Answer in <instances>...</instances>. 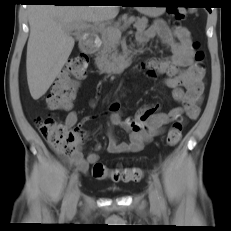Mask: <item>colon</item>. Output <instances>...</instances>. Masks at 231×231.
Here are the masks:
<instances>
[{
	"mask_svg": "<svg viewBox=\"0 0 231 231\" xmlns=\"http://www.w3.org/2000/svg\"><path fill=\"white\" fill-rule=\"evenodd\" d=\"M174 19L178 22L185 20L187 11L185 8H175L172 10ZM197 50L195 60L202 67L204 54L198 49V44H193ZM88 59L84 55H78L68 60L65 68L55 80L52 89L47 96V105L53 110H67L74 99L78 81L86 76ZM37 127L41 136L52 145L64 149H69L81 142L84 131L79 128H70L62 123L56 122L51 116L37 119ZM182 137V125L174 122L167 133V143L169 146L177 145ZM92 176L95 179H111L114 182H137L144 177V172L140 168H114L109 169L103 163L96 162L92 166Z\"/></svg>",
	"mask_w": 231,
	"mask_h": 231,
	"instance_id": "colon-1",
	"label": "colon"
}]
</instances>
